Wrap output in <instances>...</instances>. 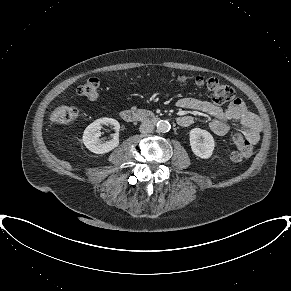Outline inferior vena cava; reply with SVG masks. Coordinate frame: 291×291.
Wrapping results in <instances>:
<instances>
[{
	"instance_id": "obj_1",
	"label": "inferior vena cava",
	"mask_w": 291,
	"mask_h": 291,
	"mask_svg": "<svg viewBox=\"0 0 291 291\" xmlns=\"http://www.w3.org/2000/svg\"><path fill=\"white\" fill-rule=\"evenodd\" d=\"M139 129L141 133H151L154 131V125L150 122H144L140 125Z\"/></svg>"
}]
</instances>
